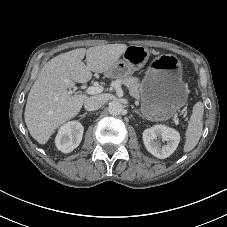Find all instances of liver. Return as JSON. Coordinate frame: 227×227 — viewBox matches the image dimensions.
I'll use <instances>...</instances> for the list:
<instances>
[{
	"mask_svg": "<svg viewBox=\"0 0 227 227\" xmlns=\"http://www.w3.org/2000/svg\"><path fill=\"white\" fill-rule=\"evenodd\" d=\"M126 44L78 48L60 54L41 69L28 94L24 112L30 135L46 144L61 125L81 110L87 95L72 94L75 82L86 83L94 73L107 72L127 49ZM86 56V64L83 58Z\"/></svg>",
	"mask_w": 227,
	"mask_h": 227,
	"instance_id": "liver-1",
	"label": "liver"
}]
</instances>
